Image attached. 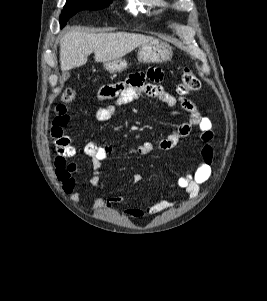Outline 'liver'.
Returning <instances> with one entry per match:
<instances>
[{"mask_svg": "<svg viewBox=\"0 0 267 301\" xmlns=\"http://www.w3.org/2000/svg\"><path fill=\"white\" fill-rule=\"evenodd\" d=\"M154 40L151 36L135 33L92 34L80 28H71L60 42V67L66 72L86 64L91 53L96 62H107L122 58L136 47Z\"/></svg>", "mask_w": 267, "mask_h": 301, "instance_id": "1", "label": "liver"}]
</instances>
